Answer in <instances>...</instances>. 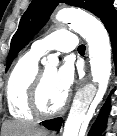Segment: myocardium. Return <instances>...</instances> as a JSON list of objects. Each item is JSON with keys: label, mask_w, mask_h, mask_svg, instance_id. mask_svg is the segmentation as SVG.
I'll return each instance as SVG.
<instances>
[{"label": "myocardium", "mask_w": 117, "mask_h": 136, "mask_svg": "<svg viewBox=\"0 0 117 136\" xmlns=\"http://www.w3.org/2000/svg\"><path fill=\"white\" fill-rule=\"evenodd\" d=\"M43 81H44V72L39 71L30 89L29 107L34 115L42 118H48L62 113L66 109L69 103V97L68 95H66L64 97L62 104L55 110L52 111L44 110L40 103V92L43 86Z\"/></svg>", "instance_id": "myocardium-1"}]
</instances>
